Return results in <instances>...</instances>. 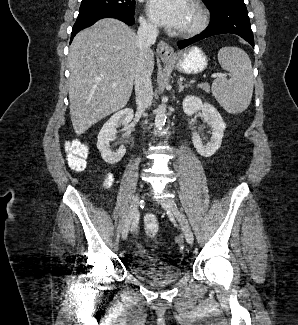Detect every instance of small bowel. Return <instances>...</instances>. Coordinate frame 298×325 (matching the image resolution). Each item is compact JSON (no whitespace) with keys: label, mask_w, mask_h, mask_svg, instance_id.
I'll use <instances>...</instances> for the list:
<instances>
[{"label":"small bowel","mask_w":298,"mask_h":325,"mask_svg":"<svg viewBox=\"0 0 298 325\" xmlns=\"http://www.w3.org/2000/svg\"><path fill=\"white\" fill-rule=\"evenodd\" d=\"M115 182V177L111 172H107L105 175V186L111 187Z\"/></svg>","instance_id":"obj_1"}]
</instances>
